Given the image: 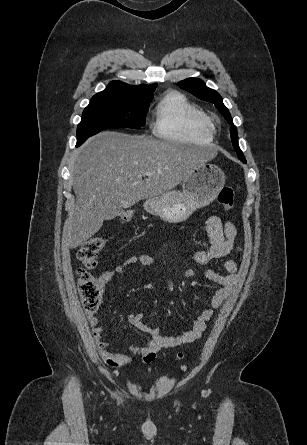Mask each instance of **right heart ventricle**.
<instances>
[{
    "label": "right heart ventricle",
    "instance_id": "e07e8e85",
    "mask_svg": "<svg viewBox=\"0 0 307 445\" xmlns=\"http://www.w3.org/2000/svg\"><path fill=\"white\" fill-rule=\"evenodd\" d=\"M153 133L169 140H213L209 118L177 92L166 93L159 102Z\"/></svg>",
    "mask_w": 307,
    "mask_h": 445
}]
</instances>
